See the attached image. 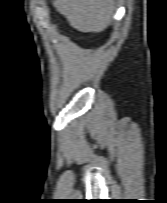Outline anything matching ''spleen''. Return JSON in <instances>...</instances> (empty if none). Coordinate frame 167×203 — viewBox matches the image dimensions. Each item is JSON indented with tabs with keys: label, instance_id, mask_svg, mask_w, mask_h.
<instances>
[{
	"label": "spleen",
	"instance_id": "obj_1",
	"mask_svg": "<svg viewBox=\"0 0 167 203\" xmlns=\"http://www.w3.org/2000/svg\"><path fill=\"white\" fill-rule=\"evenodd\" d=\"M114 0H55L53 5L81 32H101L110 23Z\"/></svg>",
	"mask_w": 167,
	"mask_h": 203
}]
</instances>
